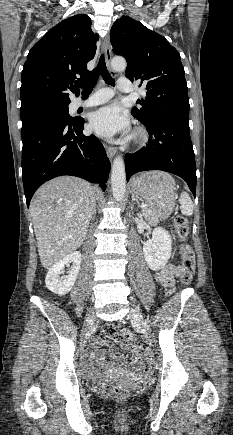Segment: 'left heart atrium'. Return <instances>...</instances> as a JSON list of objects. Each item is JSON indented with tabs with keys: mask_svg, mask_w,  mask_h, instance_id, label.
I'll list each match as a JSON object with an SVG mask.
<instances>
[{
	"mask_svg": "<svg viewBox=\"0 0 233 435\" xmlns=\"http://www.w3.org/2000/svg\"><path fill=\"white\" fill-rule=\"evenodd\" d=\"M90 126L98 134L113 137L129 130L127 117L117 105H108L92 113Z\"/></svg>",
	"mask_w": 233,
	"mask_h": 435,
	"instance_id": "1",
	"label": "left heart atrium"
}]
</instances>
